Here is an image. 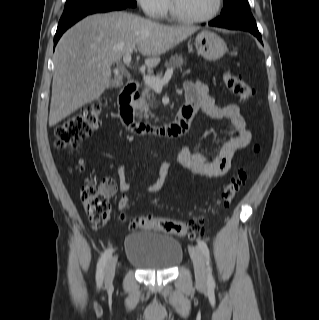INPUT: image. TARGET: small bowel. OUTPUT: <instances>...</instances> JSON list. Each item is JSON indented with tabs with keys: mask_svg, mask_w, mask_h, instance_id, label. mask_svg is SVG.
<instances>
[{
	"mask_svg": "<svg viewBox=\"0 0 319 320\" xmlns=\"http://www.w3.org/2000/svg\"><path fill=\"white\" fill-rule=\"evenodd\" d=\"M185 104L183 107L202 111L213 119H227L231 122V128L224 134V141L210 158L206 154L193 151L188 145H182L176 153L177 163L186 169L193 178H215L227 173L230 168L232 157L240 150L247 147L252 141V135L247 129V122L242 116L240 108L236 104L219 106L209 92V88L202 82H185ZM117 172V186L121 192L130 190L131 185L125 178L123 167L120 163L115 164ZM170 166L166 162L158 164V175L155 181L148 186L150 194L160 191L163 179L168 173ZM72 172V169L69 168ZM129 205L127 197L123 196L118 201V209L124 211Z\"/></svg>",
	"mask_w": 319,
	"mask_h": 320,
	"instance_id": "1",
	"label": "small bowel"
}]
</instances>
